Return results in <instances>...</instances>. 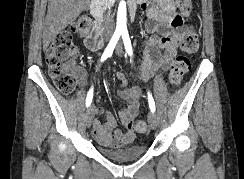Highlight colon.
Segmentation results:
<instances>
[{"label": "colon", "instance_id": "colon-1", "mask_svg": "<svg viewBox=\"0 0 244 179\" xmlns=\"http://www.w3.org/2000/svg\"><path fill=\"white\" fill-rule=\"evenodd\" d=\"M176 9L185 17H188L193 9L190 0H176ZM90 22L86 18H81L66 27L57 34L53 42L46 50V62L48 72L58 90L64 94L73 92L75 88V78L72 75L75 60L80 55V48L72 43L73 34H86L89 30ZM199 35L192 29L184 32L180 39V49L183 54L177 56L169 71L168 82L172 88L180 85L183 76L189 68V60L186 54L194 53L199 49ZM133 128L139 133L148 131L147 124L143 120L133 122Z\"/></svg>", "mask_w": 244, "mask_h": 179}]
</instances>
